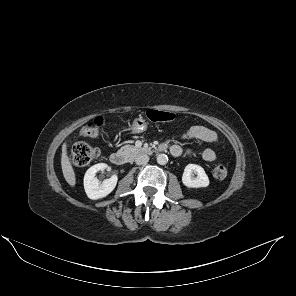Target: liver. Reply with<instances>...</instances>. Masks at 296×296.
I'll list each match as a JSON object with an SVG mask.
<instances>
[{
	"label": "liver",
	"instance_id": "obj_1",
	"mask_svg": "<svg viewBox=\"0 0 296 296\" xmlns=\"http://www.w3.org/2000/svg\"><path fill=\"white\" fill-rule=\"evenodd\" d=\"M61 167L65 180L70 186H75L76 177L73 167L70 163L69 157L67 155V143L62 145V157H61Z\"/></svg>",
	"mask_w": 296,
	"mask_h": 296
}]
</instances>
